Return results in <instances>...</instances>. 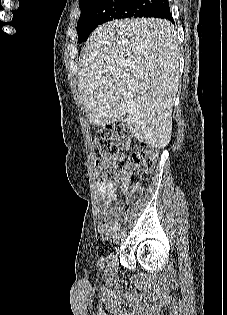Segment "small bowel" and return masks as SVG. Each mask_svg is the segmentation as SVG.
<instances>
[{"instance_id":"1","label":"small bowel","mask_w":227,"mask_h":315,"mask_svg":"<svg viewBox=\"0 0 227 315\" xmlns=\"http://www.w3.org/2000/svg\"><path fill=\"white\" fill-rule=\"evenodd\" d=\"M123 161L124 157L121 156ZM120 189L124 195L135 194L138 192L137 187H129L128 178L124 174H119L113 181L108 183H98L97 190L103 200L102 211L100 214L99 224L102 230L108 231L119 216L123 213L124 204L122 202H115L113 207H109L117 196V189Z\"/></svg>"}]
</instances>
